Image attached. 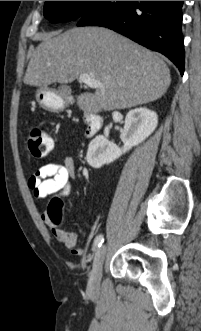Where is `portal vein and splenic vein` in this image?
<instances>
[{"mask_svg": "<svg viewBox=\"0 0 201 331\" xmlns=\"http://www.w3.org/2000/svg\"><path fill=\"white\" fill-rule=\"evenodd\" d=\"M79 79L82 83H84L86 86H88L90 88H103L104 87V85L102 83H100L99 81L90 77L86 73L80 74Z\"/></svg>", "mask_w": 201, "mask_h": 331, "instance_id": "obj_1", "label": "portal vein and splenic vein"}]
</instances>
